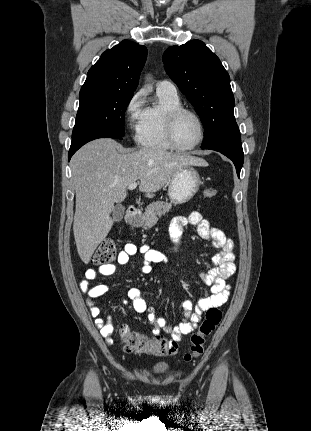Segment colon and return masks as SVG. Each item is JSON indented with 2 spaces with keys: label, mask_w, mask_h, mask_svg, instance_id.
<instances>
[{
  "label": "colon",
  "mask_w": 311,
  "mask_h": 431,
  "mask_svg": "<svg viewBox=\"0 0 311 431\" xmlns=\"http://www.w3.org/2000/svg\"><path fill=\"white\" fill-rule=\"evenodd\" d=\"M217 190L207 187L203 190L206 199L216 197ZM116 258V246L112 239H104L98 246L93 261L98 265L110 264ZM222 319V312L213 307L207 310L205 319L197 332L190 338V350L185 354V360L194 361L202 355L206 338L216 329ZM121 340L127 352L151 356L170 355L176 350V344L162 337L149 338L146 335L123 325L120 329Z\"/></svg>",
  "instance_id": "1"
}]
</instances>
